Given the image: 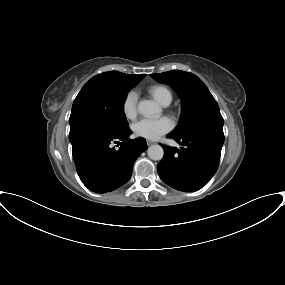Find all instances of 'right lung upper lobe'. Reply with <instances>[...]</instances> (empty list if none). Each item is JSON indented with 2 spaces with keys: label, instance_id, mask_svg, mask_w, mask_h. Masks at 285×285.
Masks as SVG:
<instances>
[{
  "label": "right lung upper lobe",
  "instance_id": "right-lung-upper-lobe-1",
  "mask_svg": "<svg viewBox=\"0 0 285 285\" xmlns=\"http://www.w3.org/2000/svg\"><path fill=\"white\" fill-rule=\"evenodd\" d=\"M146 75H128L117 71L105 72L91 78L84 86L93 84H113L135 86Z\"/></svg>",
  "mask_w": 285,
  "mask_h": 285
}]
</instances>
